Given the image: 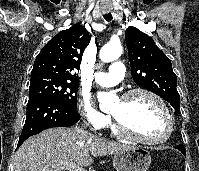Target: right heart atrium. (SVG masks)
Listing matches in <instances>:
<instances>
[{
    "instance_id": "obj_1",
    "label": "right heart atrium",
    "mask_w": 199,
    "mask_h": 171,
    "mask_svg": "<svg viewBox=\"0 0 199 171\" xmlns=\"http://www.w3.org/2000/svg\"><path fill=\"white\" fill-rule=\"evenodd\" d=\"M77 107L86 125L94 131H100L109 124V117L99 112L87 97L81 96Z\"/></svg>"
}]
</instances>
